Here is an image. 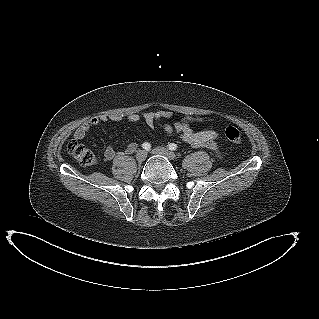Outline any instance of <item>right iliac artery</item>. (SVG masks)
I'll use <instances>...</instances> for the list:
<instances>
[{"label": "right iliac artery", "mask_w": 319, "mask_h": 319, "mask_svg": "<svg viewBox=\"0 0 319 319\" xmlns=\"http://www.w3.org/2000/svg\"><path fill=\"white\" fill-rule=\"evenodd\" d=\"M142 148L145 150H149L151 148V144L148 142H145L142 144Z\"/></svg>", "instance_id": "right-iliac-artery-1"}]
</instances>
